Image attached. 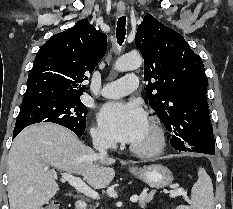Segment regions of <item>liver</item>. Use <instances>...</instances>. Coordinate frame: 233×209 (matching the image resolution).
Masks as SVG:
<instances>
[{
  "instance_id": "liver-1",
  "label": "liver",
  "mask_w": 233,
  "mask_h": 209,
  "mask_svg": "<svg viewBox=\"0 0 233 209\" xmlns=\"http://www.w3.org/2000/svg\"><path fill=\"white\" fill-rule=\"evenodd\" d=\"M114 163L62 126H30L15 138L9 152L10 209H40L55 196L59 187L50 167L81 175L92 188L101 189L113 180Z\"/></svg>"
}]
</instances>
